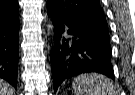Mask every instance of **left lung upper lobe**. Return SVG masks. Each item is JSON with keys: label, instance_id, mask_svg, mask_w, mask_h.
I'll list each match as a JSON object with an SVG mask.
<instances>
[{"label": "left lung upper lobe", "instance_id": "obj_1", "mask_svg": "<svg viewBox=\"0 0 135 95\" xmlns=\"http://www.w3.org/2000/svg\"><path fill=\"white\" fill-rule=\"evenodd\" d=\"M47 7L71 21L108 30L99 0H47Z\"/></svg>", "mask_w": 135, "mask_h": 95}]
</instances>
